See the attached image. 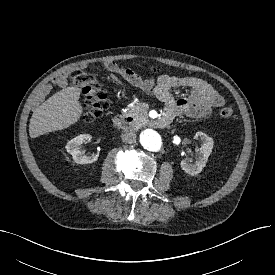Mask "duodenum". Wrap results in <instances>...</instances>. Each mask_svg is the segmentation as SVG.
I'll return each mask as SVG.
<instances>
[{"label":"duodenum","instance_id":"duodenum-1","mask_svg":"<svg viewBox=\"0 0 275 275\" xmlns=\"http://www.w3.org/2000/svg\"><path fill=\"white\" fill-rule=\"evenodd\" d=\"M171 120V117H169L168 115H164L153 120L152 125L157 128H164L171 122ZM129 121L130 120L122 114L116 115L113 119L114 126L118 129L125 128L128 125Z\"/></svg>","mask_w":275,"mask_h":275}]
</instances>
